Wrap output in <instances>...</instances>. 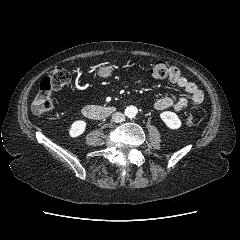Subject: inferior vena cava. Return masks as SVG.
I'll use <instances>...</instances> for the list:
<instances>
[{
	"mask_svg": "<svg viewBox=\"0 0 240 240\" xmlns=\"http://www.w3.org/2000/svg\"><path fill=\"white\" fill-rule=\"evenodd\" d=\"M112 120L116 123L123 122L125 120V115L121 112H115L112 114Z\"/></svg>",
	"mask_w": 240,
	"mask_h": 240,
	"instance_id": "1",
	"label": "inferior vena cava"
}]
</instances>
